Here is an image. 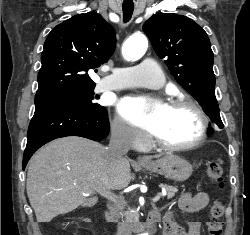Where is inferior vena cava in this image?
Listing matches in <instances>:
<instances>
[{"mask_svg": "<svg viewBox=\"0 0 250 235\" xmlns=\"http://www.w3.org/2000/svg\"><path fill=\"white\" fill-rule=\"evenodd\" d=\"M130 148V130L123 123H115L111 127V139L108 147L105 148L104 159L113 165L124 159V155ZM108 208L116 217L122 216V211L117 207L108 205ZM117 235H131L130 225L122 221L119 225Z\"/></svg>", "mask_w": 250, "mask_h": 235, "instance_id": "inferior-vena-cava-1", "label": "inferior vena cava"}]
</instances>
